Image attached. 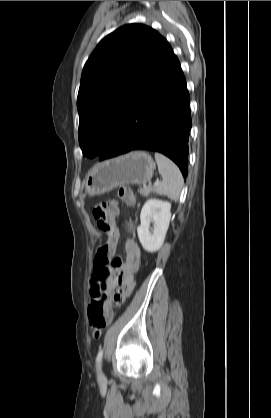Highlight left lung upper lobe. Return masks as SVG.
Segmentation results:
<instances>
[{
    "label": "left lung upper lobe",
    "instance_id": "1",
    "mask_svg": "<svg viewBox=\"0 0 271 418\" xmlns=\"http://www.w3.org/2000/svg\"><path fill=\"white\" fill-rule=\"evenodd\" d=\"M171 51L165 38L142 24H127L101 40L84 66L77 98L84 156L101 155L111 145Z\"/></svg>",
    "mask_w": 271,
    "mask_h": 418
}]
</instances>
